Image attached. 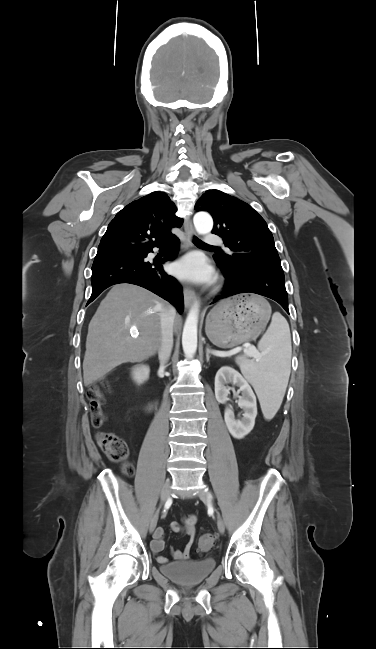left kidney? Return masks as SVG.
Wrapping results in <instances>:
<instances>
[{"mask_svg": "<svg viewBox=\"0 0 376 649\" xmlns=\"http://www.w3.org/2000/svg\"><path fill=\"white\" fill-rule=\"evenodd\" d=\"M232 383L239 387L241 396L238 406L243 409L241 419H236L232 407H227L224 413L225 423L234 438L241 439L246 436L255 425L257 416L256 396L248 381L236 370L230 367H222L215 376V397L219 403H226L231 388L227 386Z\"/></svg>", "mask_w": 376, "mask_h": 649, "instance_id": "obj_1", "label": "left kidney"}]
</instances>
